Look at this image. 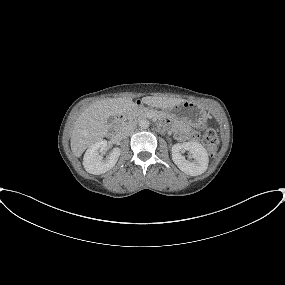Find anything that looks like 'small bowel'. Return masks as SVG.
Returning <instances> with one entry per match:
<instances>
[{"label": "small bowel", "instance_id": "obj_1", "mask_svg": "<svg viewBox=\"0 0 285 285\" xmlns=\"http://www.w3.org/2000/svg\"><path fill=\"white\" fill-rule=\"evenodd\" d=\"M179 139H183L184 137L183 136H181V135H178L177 136Z\"/></svg>", "mask_w": 285, "mask_h": 285}]
</instances>
